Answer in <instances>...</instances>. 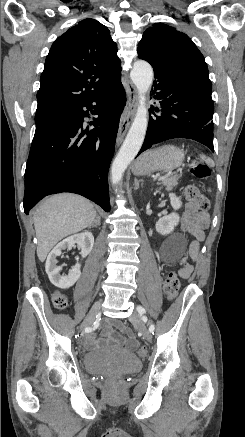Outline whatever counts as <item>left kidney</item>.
Wrapping results in <instances>:
<instances>
[{"label":"left kidney","mask_w":245,"mask_h":437,"mask_svg":"<svg viewBox=\"0 0 245 437\" xmlns=\"http://www.w3.org/2000/svg\"><path fill=\"white\" fill-rule=\"evenodd\" d=\"M171 206L176 211L181 208L182 202L179 197H176L175 194H169ZM179 215L176 212H173L167 216H163L156 223V231L161 235L171 234L174 228L179 223Z\"/></svg>","instance_id":"1"}]
</instances>
